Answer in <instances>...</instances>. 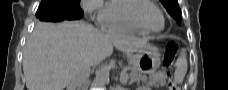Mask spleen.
I'll use <instances>...</instances> for the list:
<instances>
[{
  "label": "spleen",
  "instance_id": "1",
  "mask_svg": "<svg viewBox=\"0 0 228 90\" xmlns=\"http://www.w3.org/2000/svg\"><path fill=\"white\" fill-rule=\"evenodd\" d=\"M176 70L174 72V81L178 84L183 82V79L186 75L188 64L185 53H181L178 57L176 63Z\"/></svg>",
  "mask_w": 228,
  "mask_h": 90
}]
</instances>
